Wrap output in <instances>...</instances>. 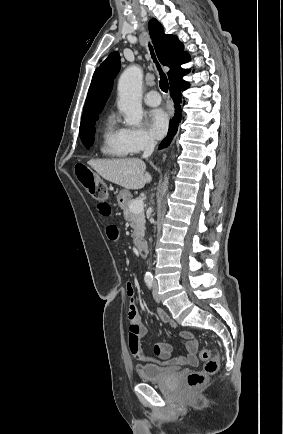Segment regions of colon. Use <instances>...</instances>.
<instances>
[{"label":"colon","mask_w":283,"mask_h":434,"mask_svg":"<svg viewBox=\"0 0 283 434\" xmlns=\"http://www.w3.org/2000/svg\"><path fill=\"white\" fill-rule=\"evenodd\" d=\"M75 172L81 185L94 199L104 201L108 198L106 184L89 167L79 164L75 167ZM199 356L204 361V366L202 370L193 371L187 376V385L190 389L203 386L208 376L215 374L219 368L218 357L212 356L209 349H201Z\"/></svg>","instance_id":"obj_1"}]
</instances>
